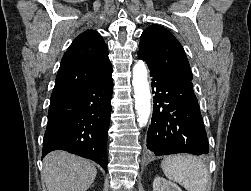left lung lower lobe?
Instances as JSON below:
<instances>
[{
  "label": "left lung lower lobe",
  "mask_w": 251,
  "mask_h": 191,
  "mask_svg": "<svg viewBox=\"0 0 251 191\" xmlns=\"http://www.w3.org/2000/svg\"><path fill=\"white\" fill-rule=\"evenodd\" d=\"M146 63L155 93L147 148L155 155L207 154V135L192 82L173 78Z\"/></svg>",
  "instance_id": "1"
}]
</instances>
